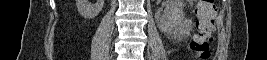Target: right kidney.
I'll return each mask as SVG.
<instances>
[{"label":"right kidney","mask_w":267,"mask_h":60,"mask_svg":"<svg viewBox=\"0 0 267 60\" xmlns=\"http://www.w3.org/2000/svg\"><path fill=\"white\" fill-rule=\"evenodd\" d=\"M104 6V0H97L93 5L89 4L88 0H76L78 12L85 19L95 18Z\"/></svg>","instance_id":"ca27d5eb"}]
</instances>
